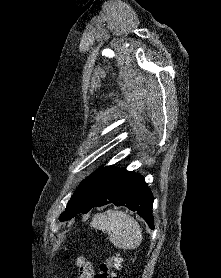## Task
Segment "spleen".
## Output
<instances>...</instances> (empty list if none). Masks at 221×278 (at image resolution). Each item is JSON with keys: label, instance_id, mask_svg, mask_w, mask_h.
<instances>
[{"label": "spleen", "instance_id": "3e777b00", "mask_svg": "<svg viewBox=\"0 0 221 278\" xmlns=\"http://www.w3.org/2000/svg\"><path fill=\"white\" fill-rule=\"evenodd\" d=\"M91 227L108 232L110 242L119 249H135L142 240V230L138 222L122 211L107 210L96 214Z\"/></svg>", "mask_w": 221, "mask_h": 278}]
</instances>
